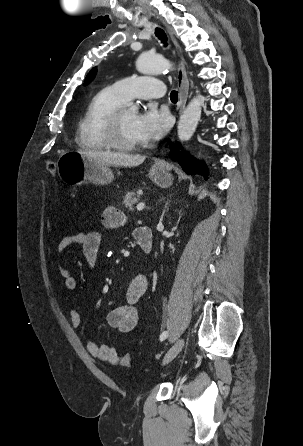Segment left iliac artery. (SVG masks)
Masks as SVG:
<instances>
[{"label": "left iliac artery", "instance_id": "44dca946", "mask_svg": "<svg viewBox=\"0 0 303 446\" xmlns=\"http://www.w3.org/2000/svg\"><path fill=\"white\" fill-rule=\"evenodd\" d=\"M167 336H168V332L167 331L162 332V334L160 335V341L165 340L167 338Z\"/></svg>", "mask_w": 303, "mask_h": 446}]
</instances>
